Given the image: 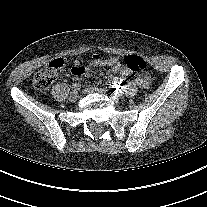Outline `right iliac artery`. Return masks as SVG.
Wrapping results in <instances>:
<instances>
[{"mask_svg":"<svg viewBox=\"0 0 207 207\" xmlns=\"http://www.w3.org/2000/svg\"><path fill=\"white\" fill-rule=\"evenodd\" d=\"M80 88H81V84L80 83H74L73 85H72V91L74 92V91H78V90H80Z\"/></svg>","mask_w":207,"mask_h":207,"instance_id":"obj_1","label":"right iliac artery"}]
</instances>
